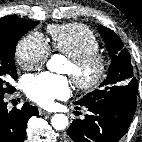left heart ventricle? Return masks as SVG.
Segmentation results:
<instances>
[{"mask_svg": "<svg viewBox=\"0 0 142 142\" xmlns=\"http://www.w3.org/2000/svg\"><path fill=\"white\" fill-rule=\"evenodd\" d=\"M64 72L69 74L72 72V66L69 62L66 64Z\"/></svg>", "mask_w": 142, "mask_h": 142, "instance_id": "obj_1", "label": "left heart ventricle"}]
</instances>
